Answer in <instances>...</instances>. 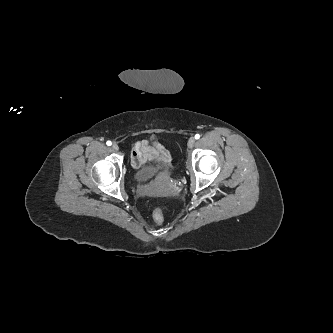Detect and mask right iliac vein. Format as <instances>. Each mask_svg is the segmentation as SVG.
<instances>
[{"label": "right iliac vein", "instance_id": "right-iliac-vein-1", "mask_svg": "<svg viewBox=\"0 0 333 333\" xmlns=\"http://www.w3.org/2000/svg\"><path fill=\"white\" fill-rule=\"evenodd\" d=\"M112 149L117 151L119 149L118 145L116 143L112 144Z\"/></svg>", "mask_w": 333, "mask_h": 333}]
</instances>
